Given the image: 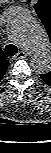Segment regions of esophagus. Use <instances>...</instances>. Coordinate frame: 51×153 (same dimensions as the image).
I'll return each instance as SVG.
<instances>
[{
    "mask_svg": "<svg viewBox=\"0 0 51 153\" xmlns=\"http://www.w3.org/2000/svg\"><path fill=\"white\" fill-rule=\"evenodd\" d=\"M26 53L24 51H20L17 53V55L15 56L16 58H25L26 57Z\"/></svg>",
    "mask_w": 51,
    "mask_h": 153,
    "instance_id": "1",
    "label": "esophagus"
}]
</instances>
